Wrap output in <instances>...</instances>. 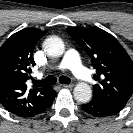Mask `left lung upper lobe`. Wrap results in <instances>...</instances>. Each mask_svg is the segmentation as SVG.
<instances>
[{
  "label": "left lung upper lobe",
  "instance_id": "left-lung-upper-lobe-1",
  "mask_svg": "<svg viewBox=\"0 0 133 133\" xmlns=\"http://www.w3.org/2000/svg\"><path fill=\"white\" fill-rule=\"evenodd\" d=\"M68 32L89 54L96 70L93 98L123 109L133 93V62L109 33L98 27H69Z\"/></svg>",
  "mask_w": 133,
  "mask_h": 133
}]
</instances>
